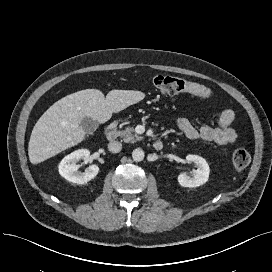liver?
<instances>
[{"instance_id": "1", "label": "liver", "mask_w": 272, "mask_h": 272, "mask_svg": "<svg viewBox=\"0 0 272 272\" xmlns=\"http://www.w3.org/2000/svg\"><path fill=\"white\" fill-rule=\"evenodd\" d=\"M145 98V93L134 90H111L106 97L98 89H85L55 102L35 124L28 155L32 164L41 163L82 142L84 117L99 123L108 121L120 112Z\"/></svg>"}]
</instances>
